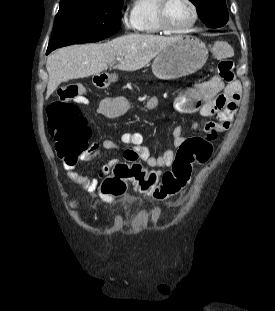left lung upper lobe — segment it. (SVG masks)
<instances>
[{"mask_svg":"<svg viewBox=\"0 0 275 311\" xmlns=\"http://www.w3.org/2000/svg\"><path fill=\"white\" fill-rule=\"evenodd\" d=\"M198 9L201 20L209 27L224 26L229 19L226 0H190Z\"/></svg>","mask_w":275,"mask_h":311,"instance_id":"obj_1","label":"left lung upper lobe"}]
</instances>
